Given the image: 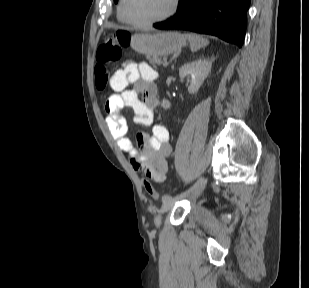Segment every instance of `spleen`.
I'll return each instance as SVG.
<instances>
[{
  "mask_svg": "<svg viewBox=\"0 0 309 288\" xmlns=\"http://www.w3.org/2000/svg\"><path fill=\"white\" fill-rule=\"evenodd\" d=\"M184 36L188 39L192 52H196L209 44L208 39L195 33H185Z\"/></svg>",
  "mask_w": 309,
  "mask_h": 288,
  "instance_id": "spleen-1",
  "label": "spleen"
}]
</instances>
